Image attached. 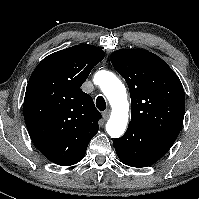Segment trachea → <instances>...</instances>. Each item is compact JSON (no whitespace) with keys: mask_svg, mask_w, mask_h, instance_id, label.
<instances>
[{"mask_svg":"<svg viewBox=\"0 0 199 199\" xmlns=\"http://www.w3.org/2000/svg\"><path fill=\"white\" fill-rule=\"evenodd\" d=\"M96 106L100 111H103L106 109V102L105 99L102 96H98L96 99Z\"/></svg>","mask_w":199,"mask_h":199,"instance_id":"3493384b","label":"trachea"}]
</instances>
